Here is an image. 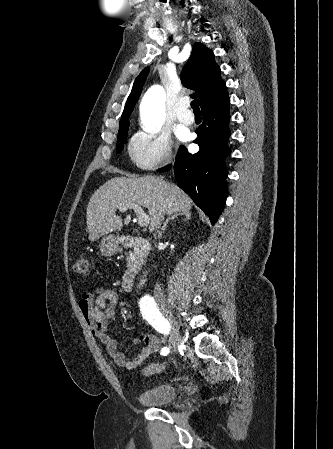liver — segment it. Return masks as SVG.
Masks as SVG:
<instances>
[{
	"label": "liver",
	"instance_id": "obj_1",
	"mask_svg": "<svg viewBox=\"0 0 333 449\" xmlns=\"http://www.w3.org/2000/svg\"><path fill=\"white\" fill-rule=\"evenodd\" d=\"M128 203L147 208L150 231L155 228L159 215L189 212L192 208V200L180 188L158 177H115L100 186L90 198L86 212L89 240L94 242L120 230L123 222L116 210ZM130 219V215L126 216L124 224Z\"/></svg>",
	"mask_w": 333,
	"mask_h": 449
}]
</instances>
